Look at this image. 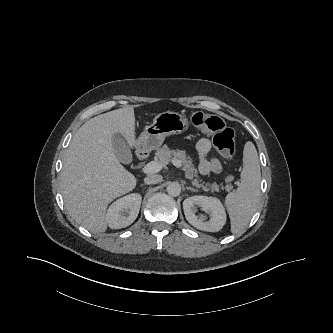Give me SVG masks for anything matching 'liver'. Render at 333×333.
I'll use <instances>...</instances> for the list:
<instances>
[{
  "instance_id": "obj_1",
  "label": "liver",
  "mask_w": 333,
  "mask_h": 333,
  "mask_svg": "<svg viewBox=\"0 0 333 333\" xmlns=\"http://www.w3.org/2000/svg\"><path fill=\"white\" fill-rule=\"evenodd\" d=\"M117 133L129 147L138 148L132 106L88 120L74 134L64 157L60 180L65 208L92 233L107 230L108 204L137 183L115 155L113 136Z\"/></svg>"
}]
</instances>
